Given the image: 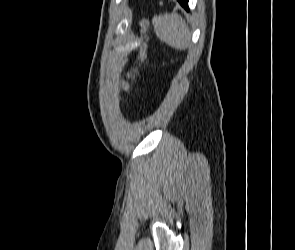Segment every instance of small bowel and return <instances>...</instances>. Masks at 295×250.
<instances>
[{
  "label": "small bowel",
  "instance_id": "small-bowel-1",
  "mask_svg": "<svg viewBox=\"0 0 295 250\" xmlns=\"http://www.w3.org/2000/svg\"><path fill=\"white\" fill-rule=\"evenodd\" d=\"M123 87H124L125 90L129 89V86L127 84H124Z\"/></svg>",
  "mask_w": 295,
  "mask_h": 250
}]
</instances>
